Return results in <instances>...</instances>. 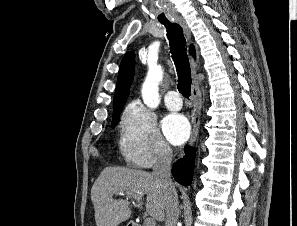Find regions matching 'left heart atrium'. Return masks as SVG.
<instances>
[{"instance_id": "left-heart-atrium-1", "label": "left heart atrium", "mask_w": 297, "mask_h": 226, "mask_svg": "<svg viewBox=\"0 0 297 226\" xmlns=\"http://www.w3.org/2000/svg\"><path fill=\"white\" fill-rule=\"evenodd\" d=\"M163 132L174 145H180L186 141L190 133L187 119L180 114H169L162 121Z\"/></svg>"}]
</instances>
